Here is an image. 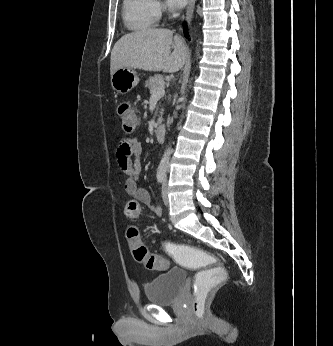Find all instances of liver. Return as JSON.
I'll list each match as a JSON object with an SVG mask.
<instances>
[{"instance_id":"1","label":"liver","mask_w":333,"mask_h":346,"mask_svg":"<svg viewBox=\"0 0 333 346\" xmlns=\"http://www.w3.org/2000/svg\"><path fill=\"white\" fill-rule=\"evenodd\" d=\"M186 59L187 49L180 36H173L168 29H142L116 42L111 52L110 74L120 68L174 73L183 68Z\"/></svg>"}]
</instances>
